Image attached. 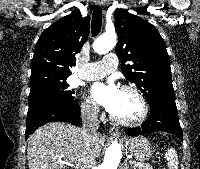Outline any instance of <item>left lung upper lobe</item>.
I'll use <instances>...</instances> for the list:
<instances>
[{
  "label": "left lung upper lobe",
  "instance_id": "obj_1",
  "mask_svg": "<svg viewBox=\"0 0 200 169\" xmlns=\"http://www.w3.org/2000/svg\"><path fill=\"white\" fill-rule=\"evenodd\" d=\"M114 15L118 35L115 50L121 58L123 75L136 84L149 104L158 99L175 100L170 58L157 29L123 9Z\"/></svg>",
  "mask_w": 200,
  "mask_h": 169
}]
</instances>
